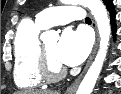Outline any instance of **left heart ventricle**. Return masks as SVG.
Listing matches in <instances>:
<instances>
[{
    "label": "left heart ventricle",
    "mask_w": 121,
    "mask_h": 94,
    "mask_svg": "<svg viewBox=\"0 0 121 94\" xmlns=\"http://www.w3.org/2000/svg\"><path fill=\"white\" fill-rule=\"evenodd\" d=\"M44 46L49 56L51 64L55 67H63V64H61L56 57L57 41L46 42L44 43Z\"/></svg>",
    "instance_id": "1"
}]
</instances>
